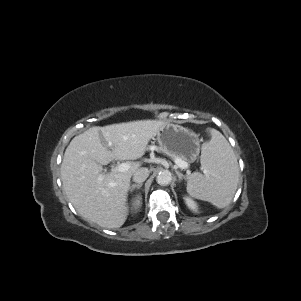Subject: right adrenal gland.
Masks as SVG:
<instances>
[{
    "instance_id": "right-adrenal-gland-1",
    "label": "right adrenal gland",
    "mask_w": 301,
    "mask_h": 301,
    "mask_svg": "<svg viewBox=\"0 0 301 301\" xmlns=\"http://www.w3.org/2000/svg\"><path fill=\"white\" fill-rule=\"evenodd\" d=\"M142 185H143L142 183H140V184H133L132 186H130V191L133 192V190L135 188L140 189L142 187Z\"/></svg>"
}]
</instances>
